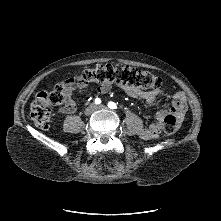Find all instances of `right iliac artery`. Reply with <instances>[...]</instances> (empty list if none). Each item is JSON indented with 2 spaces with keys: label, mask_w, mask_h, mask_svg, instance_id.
Listing matches in <instances>:
<instances>
[{
  "label": "right iliac artery",
  "mask_w": 221,
  "mask_h": 221,
  "mask_svg": "<svg viewBox=\"0 0 221 221\" xmlns=\"http://www.w3.org/2000/svg\"><path fill=\"white\" fill-rule=\"evenodd\" d=\"M95 103H96V104H100V103H101V100H100L99 98H96V99H95Z\"/></svg>",
  "instance_id": "right-iliac-artery-1"
}]
</instances>
